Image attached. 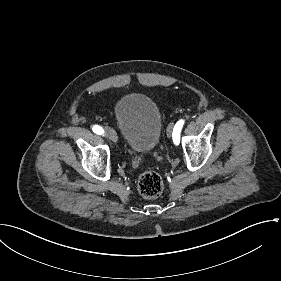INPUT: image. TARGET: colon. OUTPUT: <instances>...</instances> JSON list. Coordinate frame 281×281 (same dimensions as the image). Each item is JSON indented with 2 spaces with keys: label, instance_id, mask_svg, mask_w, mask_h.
I'll use <instances>...</instances> for the list:
<instances>
[{
  "label": "colon",
  "instance_id": "colon-1",
  "mask_svg": "<svg viewBox=\"0 0 281 281\" xmlns=\"http://www.w3.org/2000/svg\"><path fill=\"white\" fill-rule=\"evenodd\" d=\"M137 186L139 191L146 198H156L164 188L161 175L154 170H147L140 176Z\"/></svg>",
  "mask_w": 281,
  "mask_h": 281
}]
</instances>
